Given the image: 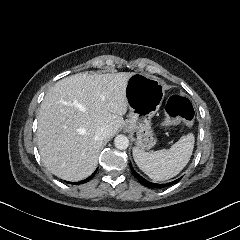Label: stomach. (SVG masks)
Instances as JSON below:
<instances>
[{"mask_svg":"<svg viewBox=\"0 0 240 240\" xmlns=\"http://www.w3.org/2000/svg\"><path fill=\"white\" fill-rule=\"evenodd\" d=\"M165 96L164 81L155 76L134 73L126 84L129 108L125 129L136 134V146L149 150L157 139L151 128V119L160 109Z\"/></svg>","mask_w":240,"mask_h":240,"instance_id":"obj_1","label":"stomach"}]
</instances>
